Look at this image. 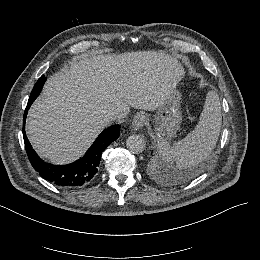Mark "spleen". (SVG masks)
Here are the masks:
<instances>
[{"label": "spleen", "instance_id": "obj_1", "mask_svg": "<svg viewBox=\"0 0 260 260\" xmlns=\"http://www.w3.org/2000/svg\"><path fill=\"white\" fill-rule=\"evenodd\" d=\"M221 125L219 96L215 91H209L195 129L173 146L165 139L159 138L157 143L159 156L168 163L175 162L179 169L196 166L216 147Z\"/></svg>", "mask_w": 260, "mask_h": 260}]
</instances>
